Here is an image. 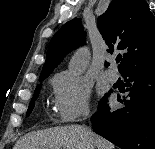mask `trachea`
<instances>
[{
	"label": "trachea",
	"mask_w": 155,
	"mask_h": 149,
	"mask_svg": "<svg viewBox=\"0 0 155 149\" xmlns=\"http://www.w3.org/2000/svg\"><path fill=\"white\" fill-rule=\"evenodd\" d=\"M120 60H121V57H117V58H116V62H117V63H119Z\"/></svg>",
	"instance_id": "3493384b"
}]
</instances>
